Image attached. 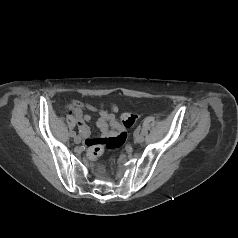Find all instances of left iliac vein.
Masks as SVG:
<instances>
[{
	"instance_id": "1",
	"label": "left iliac vein",
	"mask_w": 238,
	"mask_h": 238,
	"mask_svg": "<svg viewBox=\"0 0 238 238\" xmlns=\"http://www.w3.org/2000/svg\"><path fill=\"white\" fill-rule=\"evenodd\" d=\"M137 143H142L144 141V136L142 134H138L135 138Z\"/></svg>"
}]
</instances>
